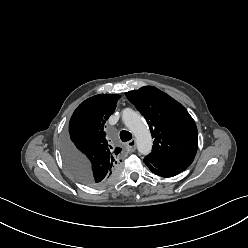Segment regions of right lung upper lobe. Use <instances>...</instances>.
<instances>
[{
	"mask_svg": "<svg viewBox=\"0 0 248 248\" xmlns=\"http://www.w3.org/2000/svg\"><path fill=\"white\" fill-rule=\"evenodd\" d=\"M120 97L100 94L88 98L77 107L69 123V149L64 160H72L76 168L87 175L92 186L113 181L120 170L121 148L111 145L104 131ZM96 176L107 177V181Z\"/></svg>",
	"mask_w": 248,
	"mask_h": 248,
	"instance_id": "cb5924a9",
	"label": "right lung upper lobe"
}]
</instances>
